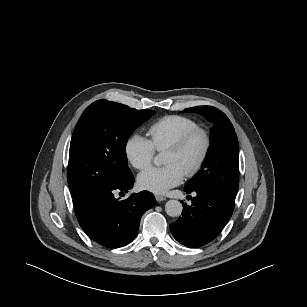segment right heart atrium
Masks as SVG:
<instances>
[{"label": "right heart atrium", "instance_id": "1", "mask_svg": "<svg viewBox=\"0 0 307 307\" xmlns=\"http://www.w3.org/2000/svg\"><path fill=\"white\" fill-rule=\"evenodd\" d=\"M125 152L128 160L136 169L142 170L153 161L155 149L147 138L134 134L125 144Z\"/></svg>", "mask_w": 307, "mask_h": 307}]
</instances>
